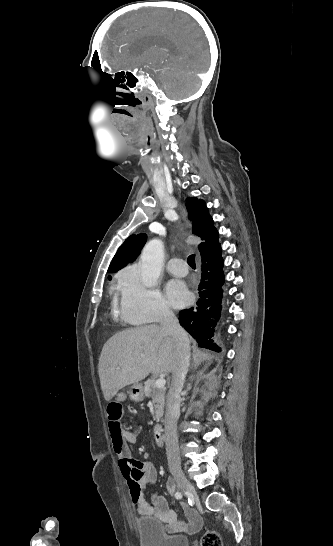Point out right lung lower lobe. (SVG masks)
<instances>
[{"mask_svg":"<svg viewBox=\"0 0 333 546\" xmlns=\"http://www.w3.org/2000/svg\"><path fill=\"white\" fill-rule=\"evenodd\" d=\"M220 244L207 256L201 257L202 275L199 284V299L196 307L179 313L180 324L195 338L200 347L215 351L220 348L210 339L220 318L224 283L223 259Z\"/></svg>","mask_w":333,"mask_h":546,"instance_id":"1","label":"right lung lower lobe"}]
</instances>
